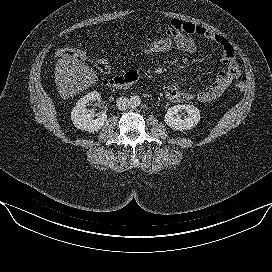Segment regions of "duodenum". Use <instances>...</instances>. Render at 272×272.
Wrapping results in <instances>:
<instances>
[{
    "mask_svg": "<svg viewBox=\"0 0 272 272\" xmlns=\"http://www.w3.org/2000/svg\"><path fill=\"white\" fill-rule=\"evenodd\" d=\"M136 77L130 74H122L104 81V84L110 88L123 89L132 85Z\"/></svg>",
    "mask_w": 272,
    "mask_h": 272,
    "instance_id": "1",
    "label": "duodenum"
}]
</instances>
